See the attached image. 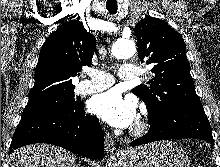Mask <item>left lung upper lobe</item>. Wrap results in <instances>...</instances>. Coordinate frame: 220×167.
Masks as SVG:
<instances>
[{"label":"left lung upper lobe","mask_w":220,"mask_h":167,"mask_svg":"<svg viewBox=\"0 0 220 167\" xmlns=\"http://www.w3.org/2000/svg\"><path fill=\"white\" fill-rule=\"evenodd\" d=\"M141 61L153 64L149 86L132 92L142 99L149 113H159L173 102L200 103L195 92L186 46L181 35L164 20L146 17L135 27Z\"/></svg>","instance_id":"1"}]
</instances>
